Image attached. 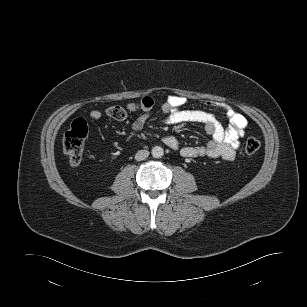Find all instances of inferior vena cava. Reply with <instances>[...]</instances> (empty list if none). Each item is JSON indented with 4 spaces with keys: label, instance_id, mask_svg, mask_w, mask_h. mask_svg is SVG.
I'll return each instance as SVG.
<instances>
[{
    "label": "inferior vena cava",
    "instance_id": "1",
    "mask_svg": "<svg viewBox=\"0 0 307 307\" xmlns=\"http://www.w3.org/2000/svg\"><path fill=\"white\" fill-rule=\"evenodd\" d=\"M148 156H149V151L139 150L135 155V159L137 161H142V160H145Z\"/></svg>",
    "mask_w": 307,
    "mask_h": 307
}]
</instances>
